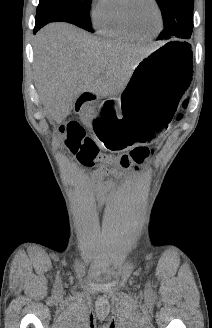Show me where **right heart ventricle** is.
Returning <instances> with one entry per match:
<instances>
[{
  "instance_id": "1",
  "label": "right heart ventricle",
  "mask_w": 212,
  "mask_h": 328,
  "mask_svg": "<svg viewBox=\"0 0 212 328\" xmlns=\"http://www.w3.org/2000/svg\"><path fill=\"white\" fill-rule=\"evenodd\" d=\"M124 0H100L94 12V24L100 34L119 41H135L142 37L132 31L123 15Z\"/></svg>"
}]
</instances>
